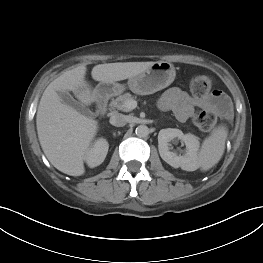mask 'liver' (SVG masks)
<instances>
[{
    "instance_id": "1",
    "label": "liver",
    "mask_w": 263,
    "mask_h": 263,
    "mask_svg": "<svg viewBox=\"0 0 263 263\" xmlns=\"http://www.w3.org/2000/svg\"><path fill=\"white\" fill-rule=\"evenodd\" d=\"M155 62H117L93 67L95 81L113 83L131 78ZM86 66L64 72L45 89L37 110L40 145L50 163L70 176L85 173L84 160L98 131V122L63 104L59 91H72L85 105L95 101V91L85 80Z\"/></svg>"
}]
</instances>
